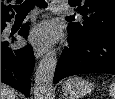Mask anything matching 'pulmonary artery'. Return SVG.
Instances as JSON below:
<instances>
[{
	"label": "pulmonary artery",
	"instance_id": "pulmonary-artery-1",
	"mask_svg": "<svg viewBox=\"0 0 115 99\" xmlns=\"http://www.w3.org/2000/svg\"><path fill=\"white\" fill-rule=\"evenodd\" d=\"M53 12L58 14H67L70 12L68 6L62 1L53 2Z\"/></svg>",
	"mask_w": 115,
	"mask_h": 99
}]
</instances>
